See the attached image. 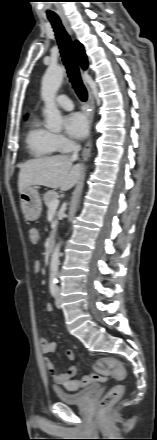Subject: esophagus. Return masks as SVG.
<instances>
[{
  "instance_id": "obj_1",
  "label": "esophagus",
  "mask_w": 157,
  "mask_h": 440,
  "mask_svg": "<svg viewBox=\"0 0 157 440\" xmlns=\"http://www.w3.org/2000/svg\"><path fill=\"white\" fill-rule=\"evenodd\" d=\"M63 23L66 26L68 32L71 33V30H70V28L68 26V23H67L66 19H63ZM82 74H83V72H82ZM84 83H85V86H86L87 91H88V100H87L85 109H86V114H87V117H88L89 126H91L92 121H93V115H94V97H93L91 89L88 86V83H87V81L85 79H84ZM90 152H91V141L88 140L86 145H85V147H84V149H83V151H82V159L83 160H87L89 158V156H90Z\"/></svg>"
}]
</instances>
